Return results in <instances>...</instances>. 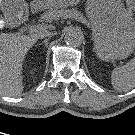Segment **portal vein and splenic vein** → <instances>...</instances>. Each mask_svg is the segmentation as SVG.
Instances as JSON below:
<instances>
[{"mask_svg":"<svg viewBox=\"0 0 135 135\" xmlns=\"http://www.w3.org/2000/svg\"><path fill=\"white\" fill-rule=\"evenodd\" d=\"M45 28H46L45 25H43V24H38V25H36V26H32V27L30 28V32H31V33L41 32V31H43Z\"/></svg>","mask_w":135,"mask_h":135,"instance_id":"18ae733b","label":"portal vein and splenic vein"}]
</instances>
